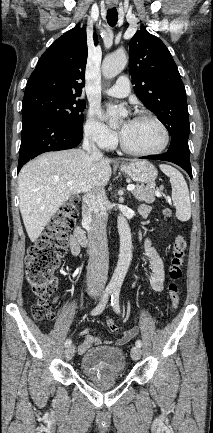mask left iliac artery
Instances as JSON below:
<instances>
[{
	"label": "left iliac artery",
	"instance_id": "44dca946",
	"mask_svg": "<svg viewBox=\"0 0 213 433\" xmlns=\"http://www.w3.org/2000/svg\"><path fill=\"white\" fill-rule=\"evenodd\" d=\"M119 295H120V287H114L113 292L111 295V304L113 306V309L116 313H120V305H119ZM136 346L141 347L142 342L141 340L136 341Z\"/></svg>",
	"mask_w": 213,
	"mask_h": 433
}]
</instances>
